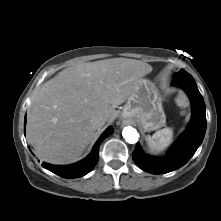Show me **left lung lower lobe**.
<instances>
[{
  "instance_id": "obj_1",
  "label": "left lung lower lobe",
  "mask_w": 221,
  "mask_h": 221,
  "mask_svg": "<svg viewBox=\"0 0 221 221\" xmlns=\"http://www.w3.org/2000/svg\"><path fill=\"white\" fill-rule=\"evenodd\" d=\"M172 85L183 88L188 94L192 104V119L185 133L164 158L148 156L139 143L136 144L132 155L134 162L152 174L168 173L186 164L202 143L206 131L205 104L193 77L189 73L178 75L173 78Z\"/></svg>"
}]
</instances>
